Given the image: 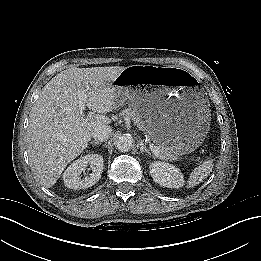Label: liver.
Returning a JSON list of instances; mask_svg holds the SVG:
<instances>
[{
  "label": "liver",
  "instance_id": "liver-1",
  "mask_svg": "<svg viewBox=\"0 0 261 261\" xmlns=\"http://www.w3.org/2000/svg\"><path fill=\"white\" fill-rule=\"evenodd\" d=\"M122 66L66 69L41 90L29 115V161L41 185L52 187L66 166L87 147L95 128L111 123L112 84ZM80 101L91 113L85 115Z\"/></svg>",
  "mask_w": 261,
  "mask_h": 261
}]
</instances>
